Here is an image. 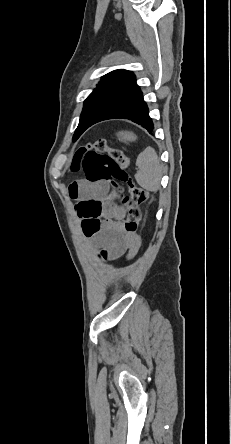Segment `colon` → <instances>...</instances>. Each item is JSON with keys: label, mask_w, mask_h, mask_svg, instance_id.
Returning a JSON list of instances; mask_svg holds the SVG:
<instances>
[{"label": "colon", "mask_w": 231, "mask_h": 444, "mask_svg": "<svg viewBox=\"0 0 231 444\" xmlns=\"http://www.w3.org/2000/svg\"><path fill=\"white\" fill-rule=\"evenodd\" d=\"M129 163V158L122 149L112 148L106 140L98 139L76 151L70 169L73 172H83L87 182L107 181L120 190L121 202L127 209L123 227L127 234L135 235L141 220L140 205L149 199V192L132 183L127 173ZM121 184L127 186V194L123 193ZM76 209L79 217L82 218V229L85 235H95L101 226L100 203L85 201L79 203Z\"/></svg>", "instance_id": "obj_1"}]
</instances>
